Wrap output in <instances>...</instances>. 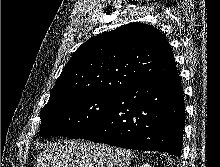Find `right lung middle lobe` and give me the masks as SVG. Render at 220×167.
I'll return each mask as SVG.
<instances>
[{
    "instance_id": "right-lung-middle-lobe-1",
    "label": "right lung middle lobe",
    "mask_w": 220,
    "mask_h": 167,
    "mask_svg": "<svg viewBox=\"0 0 220 167\" xmlns=\"http://www.w3.org/2000/svg\"><path fill=\"white\" fill-rule=\"evenodd\" d=\"M115 97L116 94L82 92L49 100L40 113V135L79 138L100 121Z\"/></svg>"
}]
</instances>
